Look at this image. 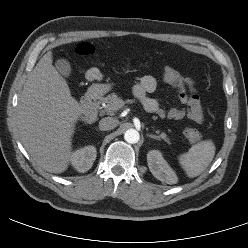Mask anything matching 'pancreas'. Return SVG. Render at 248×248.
<instances>
[{
    "mask_svg": "<svg viewBox=\"0 0 248 248\" xmlns=\"http://www.w3.org/2000/svg\"><path fill=\"white\" fill-rule=\"evenodd\" d=\"M103 101L106 104V108L104 110L107 113L115 112V111L119 110L120 108H122V106L124 105L122 103L123 100L120 99L115 93H111V94L107 95L103 99ZM156 132L159 133V131H156ZM159 138H162L165 141L169 142V139L167 138V135L165 133H161L159 135Z\"/></svg>",
    "mask_w": 248,
    "mask_h": 248,
    "instance_id": "1",
    "label": "pancreas"
}]
</instances>
